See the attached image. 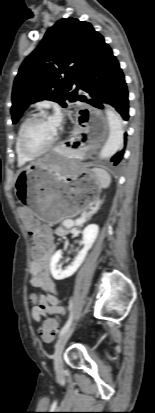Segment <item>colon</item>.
I'll use <instances>...</instances> for the list:
<instances>
[{"label":"colon","mask_w":155,"mask_h":413,"mask_svg":"<svg viewBox=\"0 0 155 413\" xmlns=\"http://www.w3.org/2000/svg\"><path fill=\"white\" fill-rule=\"evenodd\" d=\"M34 236V243L32 246V256L35 260H42L46 254L47 245L46 240L38 231H30ZM58 329V323L56 319L49 318L45 320L41 327L40 334L44 341L50 342Z\"/></svg>","instance_id":"obj_1"}]
</instances>
